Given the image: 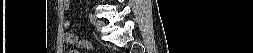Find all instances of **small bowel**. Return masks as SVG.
<instances>
[{
  "label": "small bowel",
  "mask_w": 253,
  "mask_h": 53,
  "mask_svg": "<svg viewBox=\"0 0 253 53\" xmlns=\"http://www.w3.org/2000/svg\"><path fill=\"white\" fill-rule=\"evenodd\" d=\"M63 2H67V1L65 0ZM64 28L68 30L70 28V23L69 22H65L64 23ZM65 41H66L67 44L78 45V46H79V43L81 42V40L77 39V37L73 33H71V32H67L66 33V35H65Z\"/></svg>",
  "instance_id": "1"
}]
</instances>
